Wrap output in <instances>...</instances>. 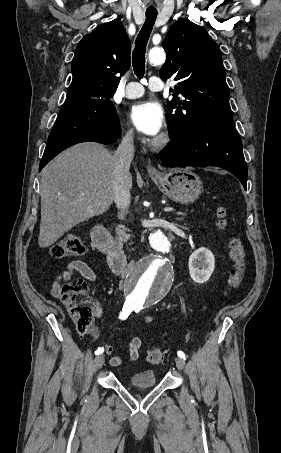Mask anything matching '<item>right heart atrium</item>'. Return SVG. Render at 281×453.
Returning a JSON list of instances; mask_svg holds the SVG:
<instances>
[{
	"mask_svg": "<svg viewBox=\"0 0 281 453\" xmlns=\"http://www.w3.org/2000/svg\"><path fill=\"white\" fill-rule=\"evenodd\" d=\"M121 136H122L123 141L128 143V142H131L135 138L136 133L133 128H131L129 126H125L121 130Z\"/></svg>",
	"mask_w": 281,
	"mask_h": 453,
	"instance_id": "right-heart-atrium-1",
	"label": "right heart atrium"
}]
</instances>
